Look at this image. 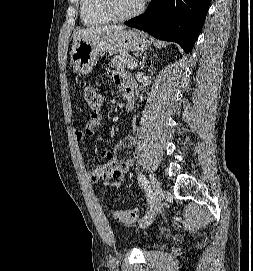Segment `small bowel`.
<instances>
[{
	"instance_id": "obj_1",
	"label": "small bowel",
	"mask_w": 253,
	"mask_h": 271,
	"mask_svg": "<svg viewBox=\"0 0 253 271\" xmlns=\"http://www.w3.org/2000/svg\"><path fill=\"white\" fill-rule=\"evenodd\" d=\"M111 77L116 84L122 87L125 94L128 91L134 92V85L129 77L117 72H112ZM102 119L101 114H93L84 130L80 131L74 129L72 131L73 138L76 141L81 142L86 138L93 136L100 130ZM133 145L134 138L132 135H128L116 146L104 149L102 151V157L107 163L105 165L90 166L88 169L89 179L94 183H100L102 186H109L112 183L115 185L121 184L125 180L130 167L133 165V160L131 158L120 160L117 157V153L120 150L132 148Z\"/></svg>"
}]
</instances>
